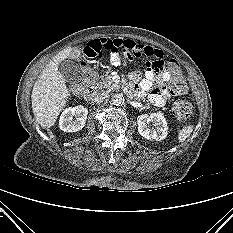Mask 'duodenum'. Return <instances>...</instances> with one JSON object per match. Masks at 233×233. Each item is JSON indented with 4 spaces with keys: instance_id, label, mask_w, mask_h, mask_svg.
<instances>
[{
    "instance_id": "obj_1",
    "label": "duodenum",
    "mask_w": 233,
    "mask_h": 233,
    "mask_svg": "<svg viewBox=\"0 0 233 233\" xmlns=\"http://www.w3.org/2000/svg\"><path fill=\"white\" fill-rule=\"evenodd\" d=\"M96 93H97L96 87L91 86L83 91V96L86 100H91L95 97Z\"/></svg>"
}]
</instances>
